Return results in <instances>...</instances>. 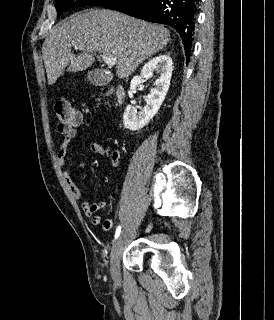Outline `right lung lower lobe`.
<instances>
[{"instance_id": "right-lung-lower-lobe-1", "label": "right lung lower lobe", "mask_w": 274, "mask_h": 320, "mask_svg": "<svg viewBox=\"0 0 274 320\" xmlns=\"http://www.w3.org/2000/svg\"><path fill=\"white\" fill-rule=\"evenodd\" d=\"M103 7L173 27L180 34L186 59H189L198 0H111Z\"/></svg>"}]
</instances>
